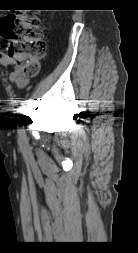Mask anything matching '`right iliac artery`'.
Listing matches in <instances>:
<instances>
[{"label":"right iliac artery","mask_w":138,"mask_h":253,"mask_svg":"<svg viewBox=\"0 0 138 253\" xmlns=\"http://www.w3.org/2000/svg\"><path fill=\"white\" fill-rule=\"evenodd\" d=\"M28 113H29V108L28 105H25V108L22 110L21 112V117L19 120V139L22 140L25 138V134H26V129H24V125H26V121L28 119Z\"/></svg>","instance_id":"82829eb1"}]
</instances>
